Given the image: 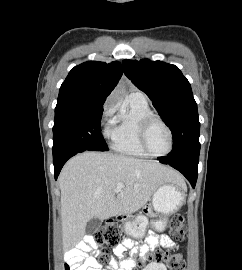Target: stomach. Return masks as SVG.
Returning <instances> with one entry per match:
<instances>
[{
  "instance_id": "0dacf381",
  "label": "stomach",
  "mask_w": 242,
  "mask_h": 270,
  "mask_svg": "<svg viewBox=\"0 0 242 270\" xmlns=\"http://www.w3.org/2000/svg\"><path fill=\"white\" fill-rule=\"evenodd\" d=\"M185 190V185L181 186L175 183H165L156 190L152 198V205L155 211L164 217L152 222L157 231H163L167 224V218L183 205ZM147 224V218L138 215L125 221L124 230L128 236L141 239L145 235Z\"/></svg>"
}]
</instances>
